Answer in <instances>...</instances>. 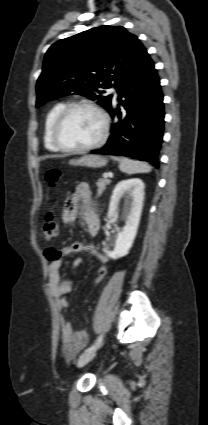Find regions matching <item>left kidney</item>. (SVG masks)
Returning <instances> with one entry per match:
<instances>
[{"label":"left kidney","mask_w":208,"mask_h":425,"mask_svg":"<svg viewBox=\"0 0 208 425\" xmlns=\"http://www.w3.org/2000/svg\"><path fill=\"white\" fill-rule=\"evenodd\" d=\"M144 188L145 185L141 179L132 178L120 181L113 190L108 210L110 219H118L119 204L124 195L127 196V201L125 204L126 222L122 230L117 233L114 249L104 248V252L112 259L127 255L132 247L143 208Z\"/></svg>","instance_id":"left-kidney-1"}]
</instances>
